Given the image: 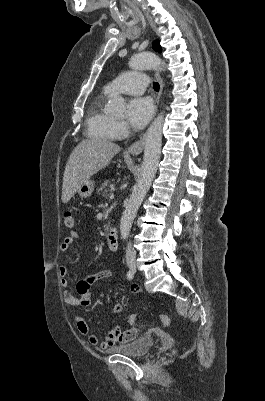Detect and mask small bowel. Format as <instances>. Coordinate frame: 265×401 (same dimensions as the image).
<instances>
[{
    "instance_id": "c3829d8e",
    "label": "small bowel",
    "mask_w": 265,
    "mask_h": 401,
    "mask_svg": "<svg viewBox=\"0 0 265 401\" xmlns=\"http://www.w3.org/2000/svg\"><path fill=\"white\" fill-rule=\"evenodd\" d=\"M78 238L76 232H71L68 236L64 238L60 245V250L62 252H67L71 249L73 242ZM59 274L61 277V286L64 288V302L67 307L71 310L81 306L88 307L91 304V286L110 275V271L107 269L100 270L99 272L81 279L76 285V292L79 298H76L74 293L70 290L69 281L67 279L68 268L66 266H61L59 268ZM130 293L136 295L139 293V288L135 285L131 286ZM123 310V306L120 303L114 304L112 308L113 313H120ZM74 320L76 323V328L78 332L87 337V340L92 346H99L102 350H107L116 344H123L131 341L132 339L128 337L126 331H121L117 326L112 327L106 334L105 339L99 342L97 336L90 332L89 326L85 319L80 315H74Z\"/></svg>"
}]
</instances>
